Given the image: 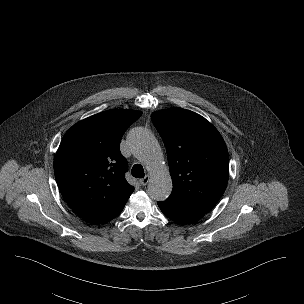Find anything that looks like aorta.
Returning <instances> with one entry per match:
<instances>
[{
    "instance_id": "aorta-1",
    "label": "aorta",
    "mask_w": 304,
    "mask_h": 304,
    "mask_svg": "<svg viewBox=\"0 0 304 304\" xmlns=\"http://www.w3.org/2000/svg\"><path fill=\"white\" fill-rule=\"evenodd\" d=\"M133 154L144 164L151 175L149 196L164 201L172 191V179L155 137L144 128H136L129 137Z\"/></svg>"
}]
</instances>
